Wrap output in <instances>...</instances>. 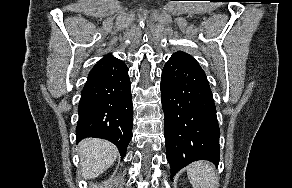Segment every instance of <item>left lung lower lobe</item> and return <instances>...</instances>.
<instances>
[{
  "label": "left lung lower lobe",
  "instance_id": "0a47b994",
  "mask_svg": "<svg viewBox=\"0 0 292 188\" xmlns=\"http://www.w3.org/2000/svg\"><path fill=\"white\" fill-rule=\"evenodd\" d=\"M161 98L166 156L172 176L197 160L206 159L217 165L220 130L203 69L173 54L162 70Z\"/></svg>",
  "mask_w": 292,
  "mask_h": 188
}]
</instances>
